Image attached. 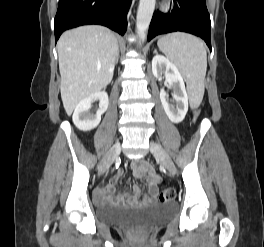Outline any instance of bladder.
Wrapping results in <instances>:
<instances>
[{"instance_id": "bladder-1", "label": "bladder", "mask_w": 264, "mask_h": 247, "mask_svg": "<svg viewBox=\"0 0 264 247\" xmlns=\"http://www.w3.org/2000/svg\"><path fill=\"white\" fill-rule=\"evenodd\" d=\"M173 208L165 203L149 206H104L97 207L96 217L101 223L120 228H149L172 218Z\"/></svg>"}]
</instances>
